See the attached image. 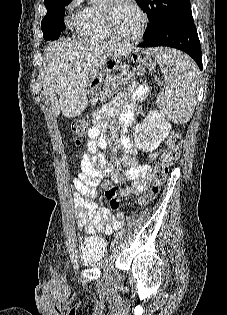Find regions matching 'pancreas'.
Returning a JSON list of instances; mask_svg holds the SVG:
<instances>
[{"label":"pancreas","mask_w":227,"mask_h":315,"mask_svg":"<svg viewBox=\"0 0 227 315\" xmlns=\"http://www.w3.org/2000/svg\"><path fill=\"white\" fill-rule=\"evenodd\" d=\"M140 68H133L132 71L124 70L118 75H109L104 82L103 91L100 93L101 97H111L121 89V86L136 79L140 74Z\"/></svg>","instance_id":"cf45deb5"}]
</instances>
